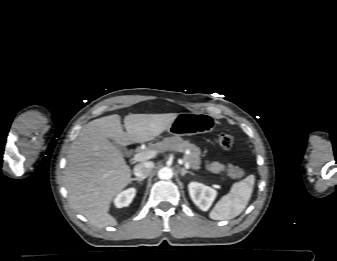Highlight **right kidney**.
Listing matches in <instances>:
<instances>
[{"label":"right kidney","mask_w":337,"mask_h":261,"mask_svg":"<svg viewBox=\"0 0 337 261\" xmlns=\"http://www.w3.org/2000/svg\"><path fill=\"white\" fill-rule=\"evenodd\" d=\"M135 194H136L135 188H129L119 193L114 200L116 207L122 208L128 206L132 202Z\"/></svg>","instance_id":"obj_1"}]
</instances>
